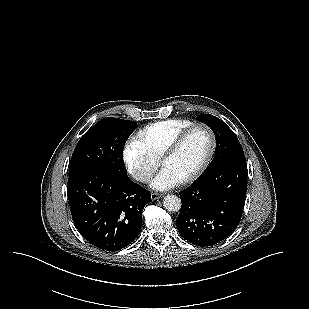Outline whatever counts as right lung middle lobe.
<instances>
[{
    "label": "right lung middle lobe",
    "instance_id": "1",
    "mask_svg": "<svg viewBox=\"0 0 309 309\" xmlns=\"http://www.w3.org/2000/svg\"><path fill=\"white\" fill-rule=\"evenodd\" d=\"M136 122L119 118H104L89 129L73 152L69 177L87 170L108 173L128 179L123 161L124 145L136 128Z\"/></svg>",
    "mask_w": 309,
    "mask_h": 309
}]
</instances>
